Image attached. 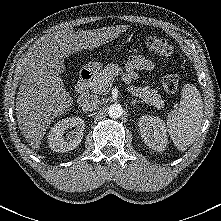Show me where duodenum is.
<instances>
[{
    "mask_svg": "<svg viewBox=\"0 0 221 221\" xmlns=\"http://www.w3.org/2000/svg\"><path fill=\"white\" fill-rule=\"evenodd\" d=\"M91 79H92V74L88 69L81 70L76 83V90H77L76 103L77 106L80 108L83 107V105L89 99L88 87Z\"/></svg>",
    "mask_w": 221,
    "mask_h": 221,
    "instance_id": "obj_1",
    "label": "duodenum"
}]
</instances>
